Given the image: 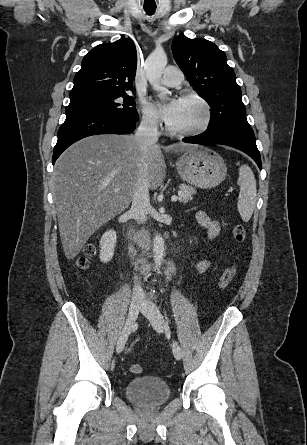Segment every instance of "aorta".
<instances>
[{
    "label": "aorta",
    "mask_w": 307,
    "mask_h": 445,
    "mask_svg": "<svg viewBox=\"0 0 307 445\" xmlns=\"http://www.w3.org/2000/svg\"><path fill=\"white\" fill-rule=\"evenodd\" d=\"M168 62L167 54L160 46V48H156L153 50L149 56H147L144 62V70L146 72V76L152 84L155 90H159L158 96L164 98L167 94H170V90L165 88V86H161L158 80H160L163 70ZM164 251H165V243L162 235H156L153 243V255H154V263L157 271H159V267L161 265V261L164 259Z\"/></svg>",
    "instance_id": "aorta-1"
}]
</instances>
